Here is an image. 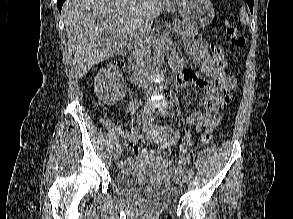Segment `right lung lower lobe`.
<instances>
[{
	"instance_id": "right-lung-lower-lobe-1",
	"label": "right lung lower lobe",
	"mask_w": 293,
	"mask_h": 219,
	"mask_svg": "<svg viewBox=\"0 0 293 219\" xmlns=\"http://www.w3.org/2000/svg\"><path fill=\"white\" fill-rule=\"evenodd\" d=\"M65 0H57V7L59 9V11H61V7H62V4Z\"/></svg>"
}]
</instances>
